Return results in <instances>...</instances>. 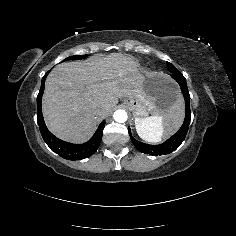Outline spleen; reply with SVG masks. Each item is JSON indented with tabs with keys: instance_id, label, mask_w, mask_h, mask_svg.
I'll use <instances>...</instances> for the list:
<instances>
[{
	"instance_id": "obj_1",
	"label": "spleen",
	"mask_w": 236,
	"mask_h": 236,
	"mask_svg": "<svg viewBox=\"0 0 236 236\" xmlns=\"http://www.w3.org/2000/svg\"><path fill=\"white\" fill-rule=\"evenodd\" d=\"M175 104L164 116L154 115L147 118H136L135 127L141 139L150 143L161 142L164 133V123L170 119L175 111Z\"/></svg>"
}]
</instances>
